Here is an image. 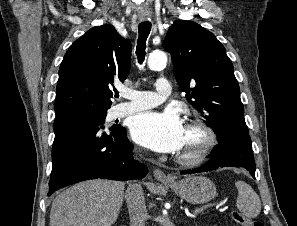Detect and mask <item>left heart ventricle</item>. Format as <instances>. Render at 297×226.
Listing matches in <instances>:
<instances>
[{"label":"left heart ventricle","instance_id":"obj_1","mask_svg":"<svg viewBox=\"0 0 297 226\" xmlns=\"http://www.w3.org/2000/svg\"><path fill=\"white\" fill-rule=\"evenodd\" d=\"M202 135L194 128L185 127L183 146L179 153L190 154L198 149L202 142Z\"/></svg>","mask_w":297,"mask_h":226}]
</instances>
